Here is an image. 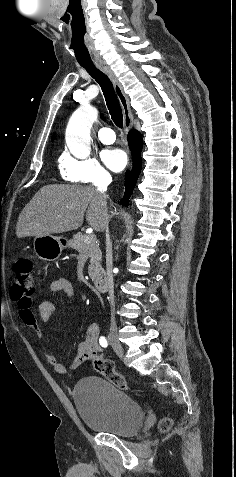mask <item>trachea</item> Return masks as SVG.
I'll return each mask as SVG.
<instances>
[{"instance_id":"trachea-1","label":"trachea","mask_w":236,"mask_h":477,"mask_svg":"<svg viewBox=\"0 0 236 477\" xmlns=\"http://www.w3.org/2000/svg\"><path fill=\"white\" fill-rule=\"evenodd\" d=\"M80 65L100 85L113 122L117 127L123 128L122 109L116 97L113 84L108 76L100 71L93 63H80Z\"/></svg>"}]
</instances>
